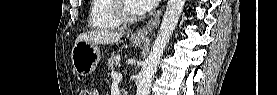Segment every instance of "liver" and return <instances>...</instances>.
I'll use <instances>...</instances> for the list:
<instances>
[{"mask_svg": "<svg viewBox=\"0 0 277 95\" xmlns=\"http://www.w3.org/2000/svg\"><path fill=\"white\" fill-rule=\"evenodd\" d=\"M123 36L122 32H109L103 30H95L80 34L75 43L79 41H87L95 44H111L118 42Z\"/></svg>", "mask_w": 277, "mask_h": 95, "instance_id": "obj_1", "label": "liver"}]
</instances>
